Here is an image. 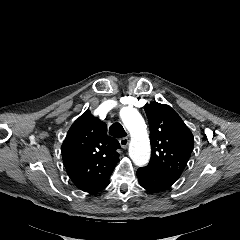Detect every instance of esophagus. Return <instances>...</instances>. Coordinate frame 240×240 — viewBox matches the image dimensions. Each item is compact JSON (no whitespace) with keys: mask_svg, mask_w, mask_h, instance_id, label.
<instances>
[{"mask_svg":"<svg viewBox=\"0 0 240 240\" xmlns=\"http://www.w3.org/2000/svg\"><path fill=\"white\" fill-rule=\"evenodd\" d=\"M129 144V139L124 137L120 139V145L123 149H126Z\"/></svg>","mask_w":240,"mask_h":240,"instance_id":"34e87169","label":"esophagus"}]
</instances>
